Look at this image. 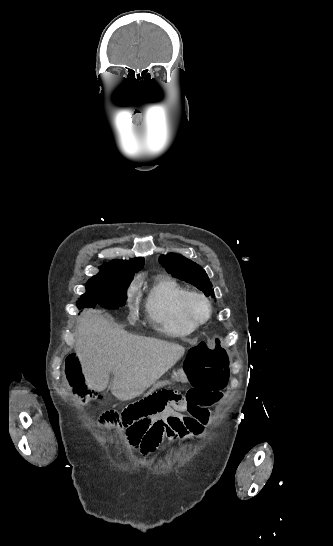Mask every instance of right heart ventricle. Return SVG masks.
Listing matches in <instances>:
<instances>
[{
	"mask_svg": "<svg viewBox=\"0 0 333 546\" xmlns=\"http://www.w3.org/2000/svg\"><path fill=\"white\" fill-rule=\"evenodd\" d=\"M188 293L189 290L177 281L158 277L144 301L148 320L170 336L185 337L193 333L197 326L183 312V301Z\"/></svg>",
	"mask_w": 333,
	"mask_h": 546,
	"instance_id": "obj_1",
	"label": "right heart ventricle"
}]
</instances>
